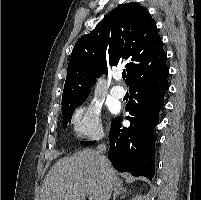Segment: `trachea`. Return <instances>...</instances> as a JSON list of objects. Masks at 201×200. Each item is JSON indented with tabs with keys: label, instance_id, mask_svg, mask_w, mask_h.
<instances>
[{
	"label": "trachea",
	"instance_id": "3493384b",
	"mask_svg": "<svg viewBox=\"0 0 201 200\" xmlns=\"http://www.w3.org/2000/svg\"><path fill=\"white\" fill-rule=\"evenodd\" d=\"M126 77V73H123L122 74V78L124 79Z\"/></svg>",
	"mask_w": 201,
	"mask_h": 200
}]
</instances>
